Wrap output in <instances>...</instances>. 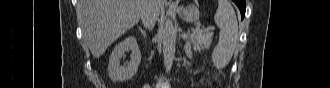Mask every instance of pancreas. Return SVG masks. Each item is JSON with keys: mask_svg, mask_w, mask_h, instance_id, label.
<instances>
[{"mask_svg": "<svg viewBox=\"0 0 330 88\" xmlns=\"http://www.w3.org/2000/svg\"><path fill=\"white\" fill-rule=\"evenodd\" d=\"M187 42L193 45L195 51L209 49L212 43V35L210 33L200 32L188 33Z\"/></svg>", "mask_w": 330, "mask_h": 88, "instance_id": "obj_1", "label": "pancreas"}]
</instances>
